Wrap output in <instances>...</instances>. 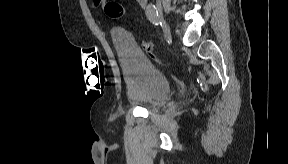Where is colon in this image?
<instances>
[{
	"instance_id": "colon-1",
	"label": "colon",
	"mask_w": 288,
	"mask_h": 164,
	"mask_svg": "<svg viewBox=\"0 0 288 164\" xmlns=\"http://www.w3.org/2000/svg\"><path fill=\"white\" fill-rule=\"evenodd\" d=\"M106 14L115 19L117 17H121L124 14V8L122 5L118 2H110L105 7ZM145 49H143V52H147V55H149L153 59H157V53L152 49V43H149L148 41H144L143 43Z\"/></svg>"
}]
</instances>
